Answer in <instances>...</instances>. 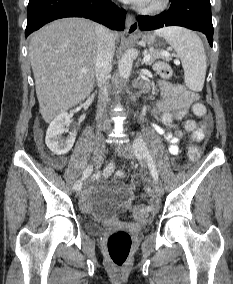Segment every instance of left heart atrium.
Returning <instances> with one entry per match:
<instances>
[{"label": "left heart atrium", "instance_id": "obj_1", "mask_svg": "<svg viewBox=\"0 0 233 284\" xmlns=\"http://www.w3.org/2000/svg\"><path fill=\"white\" fill-rule=\"evenodd\" d=\"M124 2H127V3H133L135 5H143L145 4L148 0H122Z\"/></svg>", "mask_w": 233, "mask_h": 284}]
</instances>
